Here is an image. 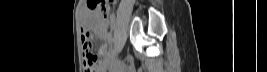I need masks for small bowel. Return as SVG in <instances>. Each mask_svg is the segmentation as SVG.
Returning a JSON list of instances; mask_svg holds the SVG:
<instances>
[{"instance_id":"obj_1","label":"small bowel","mask_w":267,"mask_h":72,"mask_svg":"<svg viewBox=\"0 0 267 72\" xmlns=\"http://www.w3.org/2000/svg\"><path fill=\"white\" fill-rule=\"evenodd\" d=\"M112 26V20H100L97 22V26H96V33L99 37L103 38L106 43L103 44L99 50V57H98V67L97 69H95L94 72H102L105 68L106 65V59H107V55H108V42L110 40V32L109 29ZM82 46L84 44L85 41H89L88 38V34L86 32L82 33ZM83 62L85 63V60H83Z\"/></svg>"}]
</instances>
